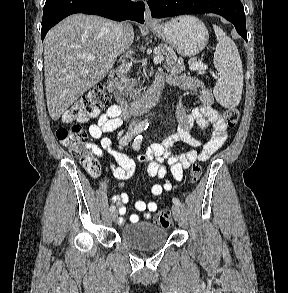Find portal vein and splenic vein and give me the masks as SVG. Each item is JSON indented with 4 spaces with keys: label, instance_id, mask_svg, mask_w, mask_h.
<instances>
[{
    "label": "portal vein and splenic vein",
    "instance_id": "portal-vein-and-splenic-vein-1",
    "mask_svg": "<svg viewBox=\"0 0 288 293\" xmlns=\"http://www.w3.org/2000/svg\"><path fill=\"white\" fill-rule=\"evenodd\" d=\"M83 58H85L87 60H94L95 59L94 56H89V57L83 56ZM163 60H164V57L162 55H156L154 57V63L155 64H160ZM190 69L194 70V71L195 70H206L207 66L204 65V64L195 63V64L190 66Z\"/></svg>",
    "mask_w": 288,
    "mask_h": 293
}]
</instances>
